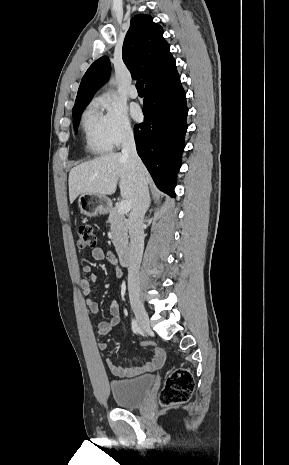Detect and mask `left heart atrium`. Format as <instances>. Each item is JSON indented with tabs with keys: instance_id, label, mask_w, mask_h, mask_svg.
Returning a JSON list of instances; mask_svg holds the SVG:
<instances>
[{
	"instance_id": "left-heart-atrium-1",
	"label": "left heart atrium",
	"mask_w": 289,
	"mask_h": 465,
	"mask_svg": "<svg viewBox=\"0 0 289 465\" xmlns=\"http://www.w3.org/2000/svg\"><path fill=\"white\" fill-rule=\"evenodd\" d=\"M131 114L134 119H139L141 117V110L138 106H133L131 109Z\"/></svg>"
}]
</instances>
